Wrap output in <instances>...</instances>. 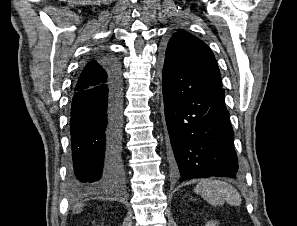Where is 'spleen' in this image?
Wrapping results in <instances>:
<instances>
[{"label": "spleen", "mask_w": 297, "mask_h": 226, "mask_svg": "<svg viewBox=\"0 0 297 226\" xmlns=\"http://www.w3.org/2000/svg\"><path fill=\"white\" fill-rule=\"evenodd\" d=\"M194 191L211 205H223L226 201L232 206H239L242 202L239 192L233 186L219 180H202Z\"/></svg>", "instance_id": "spleen-1"}]
</instances>
